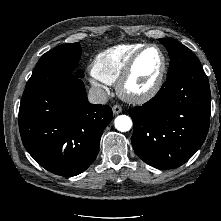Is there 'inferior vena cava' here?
<instances>
[{
  "label": "inferior vena cava",
  "instance_id": "obj_1",
  "mask_svg": "<svg viewBox=\"0 0 221 221\" xmlns=\"http://www.w3.org/2000/svg\"><path fill=\"white\" fill-rule=\"evenodd\" d=\"M88 100L92 104H106L108 101V95L104 89L92 87L88 93Z\"/></svg>",
  "mask_w": 221,
  "mask_h": 221
}]
</instances>
